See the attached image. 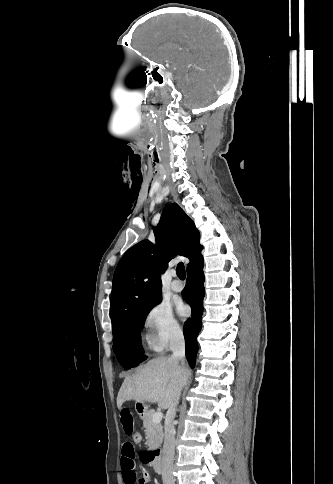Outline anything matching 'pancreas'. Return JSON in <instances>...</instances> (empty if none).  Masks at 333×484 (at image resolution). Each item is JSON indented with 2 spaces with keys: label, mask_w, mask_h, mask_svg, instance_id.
Wrapping results in <instances>:
<instances>
[{
  "label": "pancreas",
  "mask_w": 333,
  "mask_h": 484,
  "mask_svg": "<svg viewBox=\"0 0 333 484\" xmlns=\"http://www.w3.org/2000/svg\"><path fill=\"white\" fill-rule=\"evenodd\" d=\"M154 413V410H150L142 417L143 427L145 428L146 433V444L148 445L149 450L160 447L164 437L162 424L154 423L152 421Z\"/></svg>",
  "instance_id": "cf45deb5"
}]
</instances>
